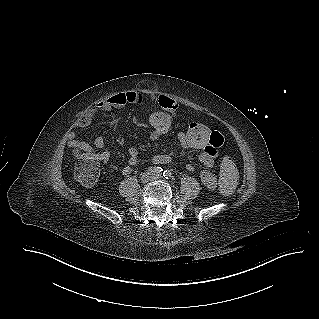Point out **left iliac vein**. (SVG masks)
<instances>
[{
	"label": "left iliac vein",
	"instance_id": "obj_1",
	"mask_svg": "<svg viewBox=\"0 0 319 319\" xmlns=\"http://www.w3.org/2000/svg\"><path fill=\"white\" fill-rule=\"evenodd\" d=\"M151 179L152 180H159L161 178V175L160 174H156V173H153L151 174Z\"/></svg>",
	"mask_w": 319,
	"mask_h": 319
}]
</instances>
